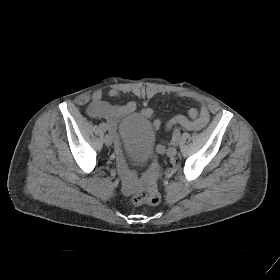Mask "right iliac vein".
Returning a JSON list of instances; mask_svg holds the SVG:
<instances>
[{
    "label": "right iliac vein",
    "instance_id": "1",
    "mask_svg": "<svg viewBox=\"0 0 280 280\" xmlns=\"http://www.w3.org/2000/svg\"><path fill=\"white\" fill-rule=\"evenodd\" d=\"M104 143H105L107 146L112 145V143H113V137H112L111 135H106L105 138H104Z\"/></svg>",
    "mask_w": 280,
    "mask_h": 280
}]
</instances>
